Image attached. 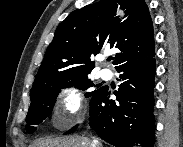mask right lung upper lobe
<instances>
[{
  "label": "right lung upper lobe",
  "instance_id": "right-lung-upper-lobe-1",
  "mask_svg": "<svg viewBox=\"0 0 183 147\" xmlns=\"http://www.w3.org/2000/svg\"><path fill=\"white\" fill-rule=\"evenodd\" d=\"M125 10V19L116 14ZM118 48L114 65L154 53L153 25L144 0H101L75 10L55 31L32 90L61 79L89 74L102 49Z\"/></svg>",
  "mask_w": 183,
  "mask_h": 147
}]
</instances>
